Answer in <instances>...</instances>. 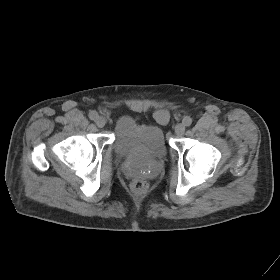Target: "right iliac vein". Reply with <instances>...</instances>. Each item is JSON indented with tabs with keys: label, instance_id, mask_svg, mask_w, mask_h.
<instances>
[{
	"label": "right iliac vein",
	"instance_id": "63e3f726",
	"mask_svg": "<svg viewBox=\"0 0 280 280\" xmlns=\"http://www.w3.org/2000/svg\"><path fill=\"white\" fill-rule=\"evenodd\" d=\"M96 125L99 127V128H102L105 126L106 124V119L102 116H99L96 121H95Z\"/></svg>",
	"mask_w": 280,
	"mask_h": 280
}]
</instances>
